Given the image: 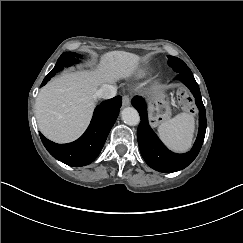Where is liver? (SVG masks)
Segmentation results:
<instances>
[{"instance_id":"1","label":"liver","mask_w":243,"mask_h":243,"mask_svg":"<svg viewBox=\"0 0 243 243\" xmlns=\"http://www.w3.org/2000/svg\"><path fill=\"white\" fill-rule=\"evenodd\" d=\"M140 57L125 51L101 56L94 71L63 72L41 88L35 103L39 130L56 143H68L87 128L97 101L98 87L132 76Z\"/></svg>"}]
</instances>
